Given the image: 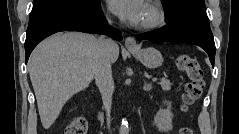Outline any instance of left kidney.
Instances as JSON below:
<instances>
[{"label":"left kidney","instance_id":"left-kidney-1","mask_svg":"<svg viewBox=\"0 0 239 134\" xmlns=\"http://www.w3.org/2000/svg\"><path fill=\"white\" fill-rule=\"evenodd\" d=\"M173 114L171 112V104L167 109L159 110L154 117V124L161 132H168L173 128L172 125Z\"/></svg>","mask_w":239,"mask_h":134}]
</instances>
